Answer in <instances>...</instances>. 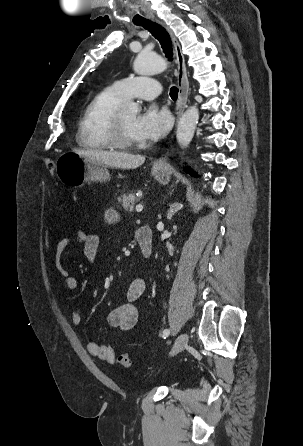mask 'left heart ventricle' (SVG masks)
<instances>
[{
    "mask_svg": "<svg viewBox=\"0 0 303 446\" xmlns=\"http://www.w3.org/2000/svg\"><path fill=\"white\" fill-rule=\"evenodd\" d=\"M137 116L131 112H121V121L124 129V133L132 141H138L133 133V125Z\"/></svg>",
    "mask_w": 303,
    "mask_h": 446,
    "instance_id": "left-heart-ventricle-1",
    "label": "left heart ventricle"
}]
</instances>
